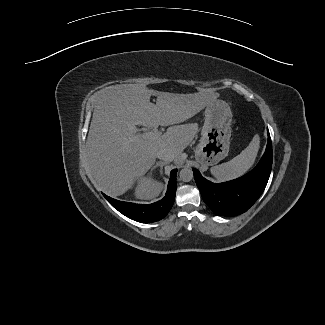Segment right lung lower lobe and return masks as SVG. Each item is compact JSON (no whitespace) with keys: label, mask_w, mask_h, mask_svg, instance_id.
<instances>
[{"label":"right lung lower lobe","mask_w":325,"mask_h":325,"mask_svg":"<svg viewBox=\"0 0 325 325\" xmlns=\"http://www.w3.org/2000/svg\"><path fill=\"white\" fill-rule=\"evenodd\" d=\"M176 173L177 169L172 170L170 173L168 189L164 198L153 204L123 202L110 198L105 194L103 195L115 209L128 218L143 223L155 222L164 218L174 203L176 193Z\"/></svg>","instance_id":"right-lung-lower-lobe-1"}]
</instances>
